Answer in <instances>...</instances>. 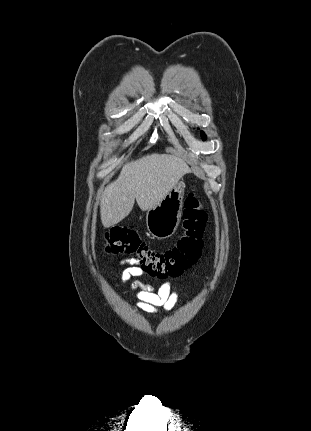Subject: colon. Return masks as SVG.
Segmentation results:
<instances>
[{"label":"colon","instance_id":"1","mask_svg":"<svg viewBox=\"0 0 311 431\" xmlns=\"http://www.w3.org/2000/svg\"><path fill=\"white\" fill-rule=\"evenodd\" d=\"M206 220L207 214L192 190L185 198L182 233L173 247L155 250L136 231L115 227L105 235V250L110 254L134 256L143 271L150 276L160 279L178 277L195 264L201 255Z\"/></svg>","mask_w":311,"mask_h":431}]
</instances>
